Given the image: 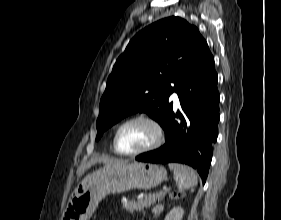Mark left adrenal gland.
I'll list each match as a JSON object with an SVG mask.
<instances>
[{
	"mask_svg": "<svg viewBox=\"0 0 281 220\" xmlns=\"http://www.w3.org/2000/svg\"><path fill=\"white\" fill-rule=\"evenodd\" d=\"M152 212L156 215L155 208L152 210Z\"/></svg>",
	"mask_w": 281,
	"mask_h": 220,
	"instance_id": "left-adrenal-gland-1",
	"label": "left adrenal gland"
}]
</instances>
